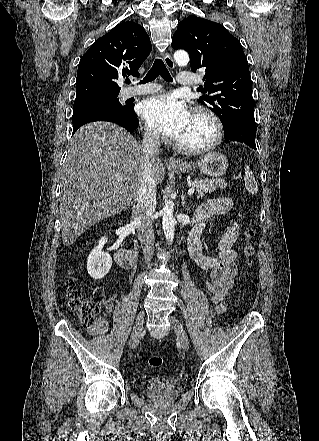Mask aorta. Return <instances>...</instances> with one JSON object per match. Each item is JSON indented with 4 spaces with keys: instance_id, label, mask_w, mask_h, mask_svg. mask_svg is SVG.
<instances>
[{
    "instance_id": "obj_1",
    "label": "aorta",
    "mask_w": 319,
    "mask_h": 441,
    "mask_svg": "<svg viewBox=\"0 0 319 441\" xmlns=\"http://www.w3.org/2000/svg\"><path fill=\"white\" fill-rule=\"evenodd\" d=\"M174 60L179 66H185L189 62V55L185 50H177L174 53ZM174 203L171 200L166 201L162 209V225L165 238L168 243H172L175 235L176 220L173 215Z\"/></svg>"
}]
</instances>
